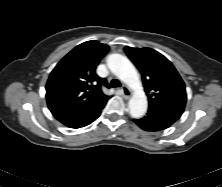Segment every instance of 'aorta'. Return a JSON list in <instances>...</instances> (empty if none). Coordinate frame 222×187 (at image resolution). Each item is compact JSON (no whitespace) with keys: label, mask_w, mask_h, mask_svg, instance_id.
I'll list each match as a JSON object with an SVG mask.
<instances>
[{"label":"aorta","mask_w":222,"mask_h":187,"mask_svg":"<svg viewBox=\"0 0 222 187\" xmlns=\"http://www.w3.org/2000/svg\"><path fill=\"white\" fill-rule=\"evenodd\" d=\"M107 66L114 75L133 90V95L129 100L130 115L137 119L143 117L147 111L148 102L133 64L125 56L115 53L108 56Z\"/></svg>","instance_id":"aorta-1"}]
</instances>
